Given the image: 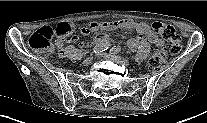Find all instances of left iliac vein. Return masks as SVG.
<instances>
[{"label":"left iliac vein","instance_id":"left-iliac-vein-1","mask_svg":"<svg viewBox=\"0 0 207 123\" xmlns=\"http://www.w3.org/2000/svg\"><path fill=\"white\" fill-rule=\"evenodd\" d=\"M103 56H104L105 58H107V59H110V60H112V61H114V62H116V63L123 64V65H125V66H128V65L130 64L129 61H128L127 59H125V58H123V57H121V56L115 55V54H113V53H111V52H109V53H104Z\"/></svg>","mask_w":207,"mask_h":123}]
</instances>
